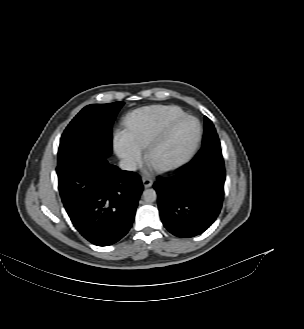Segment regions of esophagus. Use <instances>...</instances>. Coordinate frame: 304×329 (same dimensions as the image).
Returning <instances> with one entry per match:
<instances>
[{
	"mask_svg": "<svg viewBox=\"0 0 304 329\" xmlns=\"http://www.w3.org/2000/svg\"><path fill=\"white\" fill-rule=\"evenodd\" d=\"M142 183H143V186L145 188H149L152 186L153 184V180L151 178H148V177H143L142 178Z\"/></svg>",
	"mask_w": 304,
	"mask_h": 329,
	"instance_id": "34e87169",
	"label": "esophagus"
}]
</instances>
